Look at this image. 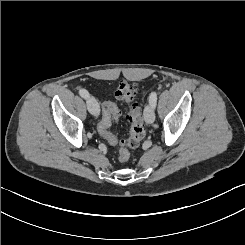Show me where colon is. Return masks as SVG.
Returning a JSON list of instances; mask_svg holds the SVG:
<instances>
[{
  "label": "colon",
  "mask_w": 245,
  "mask_h": 245,
  "mask_svg": "<svg viewBox=\"0 0 245 245\" xmlns=\"http://www.w3.org/2000/svg\"><path fill=\"white\" fill-rule=\"evenodd\" d=\"M136 86L127 81L119 83L115 90V97L127 106V119L129 122V136L127 139L119 137L117 132L111 131L112 122L119 119L120 111L112 102H105L102 105V116L98 125L99 133L111 144L118 146L119 162H126L129 157V149L140 145L145 137L143 116L139 105L135 101Z\"/></svg>",
  "instance_id": "colon-1"
}]
</instances>
